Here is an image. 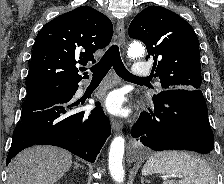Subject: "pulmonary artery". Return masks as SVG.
Wrapping results in <instances>:
<instances>
[{
    "instance_id": "obj_1",
    "label": "pulmonary artery",
    "mask_w": 224,
    "mask_h": 184,
    "mask_svg": "<svg viewBox=\"0 0 224 184\" xmlns=\"http://www.w3.org/2000/svg\"><path fill=\"white\" fill-rule=\"evenodd\" d=\"M131 74L133 76L139 77V78L146 77V76H148L150 74V67H149V65L147 63L137 62L134 65Z\"/></svg>"
}]
</instances>
